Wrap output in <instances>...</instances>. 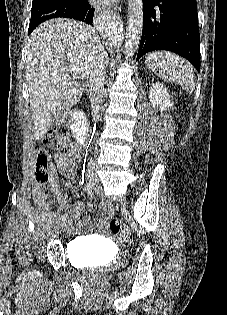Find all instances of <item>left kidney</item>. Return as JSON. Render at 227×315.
<instances>
[{"label":"left kidney","mask_w":227,"mask_h":315,"mask_svg":"<svg viewBox=\"0 0 227 315\" xmlns=\"http://www.w3.org/2000/svg\"><path fill=\"white\" fill-rule=\"evenodd\" d=\"M150 102L154 107L165 111L169 107H172V103L169 98L167 89L160 83H153L149 92Z\"/></svg>","instance_id":"left-kidney-1"}]
</instances>
